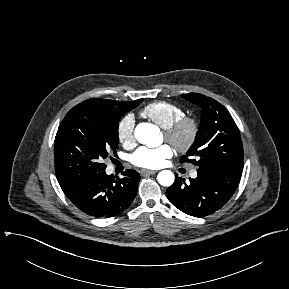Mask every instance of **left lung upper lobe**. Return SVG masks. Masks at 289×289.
I'll use <instances>...</instances> for the list:
<instances>
[{"mask_svg": "<svg viewBox=\"0 0 289 289\" xmlns=\"http://www.w3.org/2000/svg\"><path fill=\"white\" fill-rule=\"evenodd\" d=\"M182 97L202 108L201 122L192 146L180 159L198 167L220 166L242 171L244 164L240 132L229 111L216 100L202 94ZM199 158L198 161L193 159Z\"/></svg>", "mask_w": 289, "mask_h": 289, "instance_id": "left-lung-upper-lobe-1", "label": "left lung upper lobe"}]
</instances>
